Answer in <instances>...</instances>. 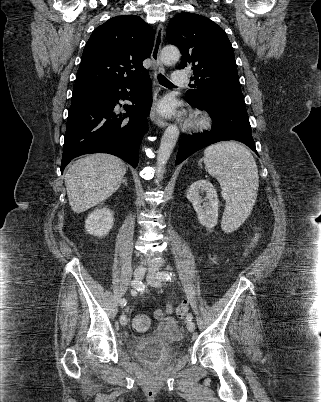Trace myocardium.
<instances>
[{
    "label": "myocardium",
    "instance_id": "1",
    "mask_svg": "<svg viewBox=\"0 0 321 402\" xmlns=\"http://www.w3.org/2000/svg\"><path fill=\"white\" fill-rule=\"evenodd\" d=\"M212 125V120L209 117L203 115H196L191 121V126L195 129H208Z\"/></svg>",
    "mask_w": 321,
    "mask_h": 402
}]
</instances>
